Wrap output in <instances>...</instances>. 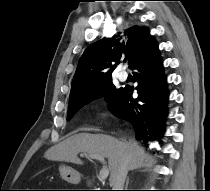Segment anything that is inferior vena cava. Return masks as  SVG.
Instances as JSON below:
<instances>
[{"mask_svg": "<svg viewBox=\"0 0 210 191\" xmlns=\"http://www.w3.org/2000/svg\"><path fill=\"white\" fill-rule=\"evenodd\" d=\"M128 164L126 160H124L115 175L113 176L111 186L113 187V190H123L124 182L128 173Z\"/></svg>", "mask_w": 210, "mask_h": 191, "instance_id": "obj_1", "label": "inferior vena cava"}]
</instances>
